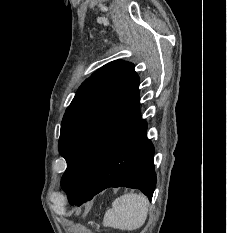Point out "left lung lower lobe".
<instances>
[{
  "label": "left lung lower lobe",
  "mask_w": 227,
  "mask_h": 233,
  "mask_svg": "<svg viewBox=\"0 0 227 233\" xmlns=\"http://www.w3.org/2000/svg\"><path fill=\"white\" fill-rule=\"evenodd\" d=\"M146 131L147 123L140 119L112 152L95 189L70 204L81 205L106 188L120 186L137 188L151 200L156 186V174L154 147L147 138Z\"/></svg>",
  "instance_id": "left-lung-lower-lobe-1"
}]
</instances>
